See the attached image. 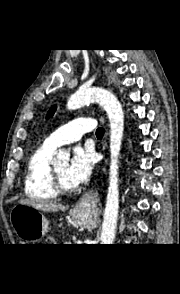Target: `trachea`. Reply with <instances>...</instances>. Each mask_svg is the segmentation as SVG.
I'll list each match as a JSON object with an SVG mask.
<instances>
[{
	"instance_id": "trachea-1",
	"label": "trachea",
	"mask_w": 180,
	"mask_h": 294,
	"mask_svg": "<svg viewBox=\"0 0 180 294\" xmlns=\"http://www.w3.org/2000/svg\"><path fill=\"white\" fill-rule=\"evenodd\" d=\"M104 135V128L100 127L96 130V136L101 138Z\"/></svg>"
}]
</instances>
